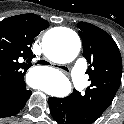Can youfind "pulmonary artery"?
<instances>
[{
  "label": "pulmonary artery",
  "mask_w": 124,
  "mask_h": 124,
  "mask_svg": "<svg viewBox=\"0 0 124 124\" xmlns=\"http://www.w3.org/2000/svg\"><path fill=\"white\" fill-rule=\"evenodd\" d=\"M86 61L80 58L76 61L71 71L72 82L77 90L85 87Z\"/></svg>",
  "instance_id": "pulmonary-artery-1"
}]
</instances>
